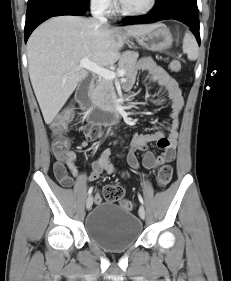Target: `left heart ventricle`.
Instances as JSON below:
<instances>
[{"mask_svg":"<svg viewBox=\"0 0 231 281\" xmlns=\"http://www.w3.org/2000/svg\"><path fill=\"white\" fill-rule=\"evenodd\" d=\"M125 7L129 9H142L146 7L150 0H121Z\"/></svg>","mask_w":231,"mask_h":281,"instance_id":"left-heart-ventricle-1","label":"left heart ventricle"}]
</instances>
